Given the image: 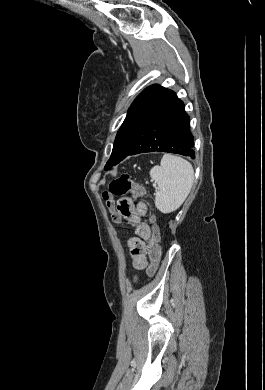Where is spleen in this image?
<instances>
[{
  "instance_id": "obj_1",
  "label": "spleen",
  "mask_w": 265,
  "mask_h": 390,
  "mask_svg": "<svg viewBox=\"0 0 265 390\" xmlns=\"http://www.w3.org/2000/svg\"><path fill=\"white\" fill-rule=\"evenodd\" d=\"M157 183L155 206L164 214L177 210L187 198L194 180L192 165L179 156L164 154L160 166L150 170Z\"/></svg>"
}]
</instances>
